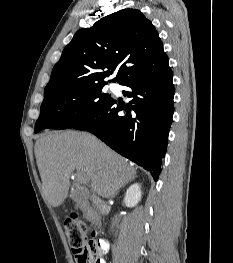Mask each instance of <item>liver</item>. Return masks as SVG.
<instances>
[{"label":"liver","mask_w":233,"mask_h":263,"mask_svg":"<svg viewBox=\"0 0 233 263\" xmlns=\"http://www.w3.org/2000/svg\"><path fill=\"white\" fill-rule=\"evenodd\" d=\"M44 200L60 206L68 196L73 172L85 173L91 189L109 198L133 180L136 169L92 134L77 131L43 134L35 143Z\"/></svg>","instance_id":"6515ba94"}]
</instances>
